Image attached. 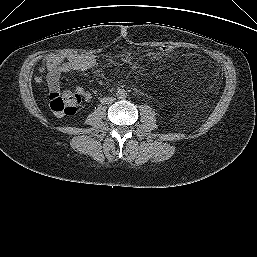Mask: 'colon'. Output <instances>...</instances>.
I'll return each mask as SVG.
<instances>
[{"mask_svg":"<svg viewBox=\"0 0 257 257\" xmlns=\"http://www.w3.org/2000/svg\"><path fill=\"white\" fill-rule=\"evenodd\" d=\"M162 55H168L172 52V47L163 45L159 48ZM83 97L78 93L52 91L48 95L50 109L57 115H73L76 113Z\"/></svg>","mask_w":257,"mask_h":257,"instance_id":"colon-1","label":"colon"}]
</instances>
